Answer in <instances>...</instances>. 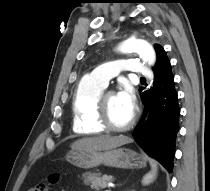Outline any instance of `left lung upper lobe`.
Instances as JSON below:
<instances>
[{"label":"left lung upper lobe","mask_w":210,"mask_h":191,"mask_svg":"<svg viewBox=\"0 0 210 191\" xmlns=\"http://www.w3.org/2000/svg\"><path fill=\"white\" fill-rule=\"evenodd\" d=\"M154 48H155V50H156L157 55H158L161 51H164L163 47L160 46V45H155Z\"/></svg>","instance_id":"left-lung-upper-lobe-1"}]
</instances>
